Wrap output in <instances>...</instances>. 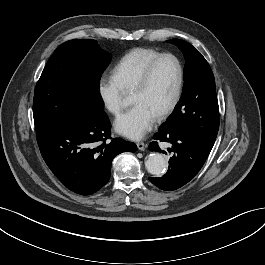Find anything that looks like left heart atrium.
<instances>
[{
	"label": "left heart atrium",
	"instance_id": "1",
	"mask_svg": "<svg viewBox=\"0 0 265 265\" xmlns=\"http://www.w3.org/2000/svg\"><path fill=\"white\" fill-rule=\"evenodd\" d=\"M157 116L142 104H134L114 122L115 130L133 140L141 139L155 124Z\"/></svg>",
	"mask_w": 265,
	"mask_h": 265
}]
</instances>
